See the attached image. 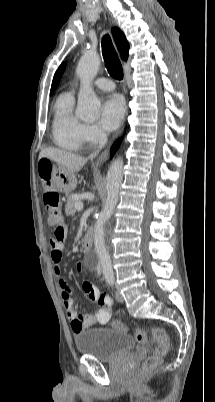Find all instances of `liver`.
Here are the masks:
<instances>
[{"mask_svg":"<svg viewBox=\"0 0 215 402\" xmlns=\"http://www.w3.org/2000/svg\"><path fill=\"white\" fill-rule=\"evenodd\" d=\"M42 158L51 159L71 172L80 171L87 162L82 156L55 148L43 149L39 154V159Z\"/></svg>","mask_w":215,"mask_h":402,"instance_id":"liver-1","label":"liver"}]
</instances>
